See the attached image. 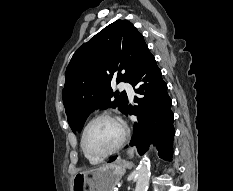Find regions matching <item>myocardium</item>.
<instances>
[{
	"instance_id": "myocardium-1",
	"label": "myocardium",
	"mask_w": 233,
	"mask_h": 191,
	"mask_svg": "<svg viewBox=\"0 0 233 191\" xmlns=\"http://www.w3.org/2000/svg\"><path fill=\"white\" fill-rule=\"evenodd\" d=\"M100 119H109V120H112V121L119 123L121 128H122V134H121L119 141L109 151H107L103 154H92L88 151V149L86 147V143H85L86 134H87L89 127L95 121L100 120ZM128 133H129L128 127L121 118H119L118 116H115L111 113H100V114L95 115L93 118H91L87 122V124L84 126L83 131H82V135H81V148L86 156H88L92 159L102 160V159H105V158L109 157L110 155L116 153L119 149L122 148V146L124 145V143L127 140Z\"/></svg>"
}]
</instances>
